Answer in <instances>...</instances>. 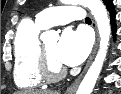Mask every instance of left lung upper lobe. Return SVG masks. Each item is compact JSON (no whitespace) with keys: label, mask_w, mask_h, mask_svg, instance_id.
<instances>
[{"label":"left lung upper lobe","mask_w":121,"mask_h":94,"mask_svg":"<svg viewBox=\"0 0 121 94\" xmlns=\"http://www.w3.org/2000/svg\"><path fill=\"white\" fill-rule=\"evenodd\" d=\"M104 4H107L109 2H112L111 0H103Z\"/></svg>","instance_id":"left-lung-upper-lobe-1"}]
</instances>
